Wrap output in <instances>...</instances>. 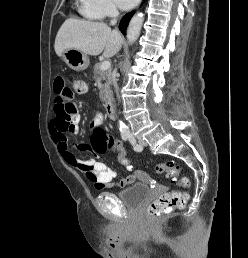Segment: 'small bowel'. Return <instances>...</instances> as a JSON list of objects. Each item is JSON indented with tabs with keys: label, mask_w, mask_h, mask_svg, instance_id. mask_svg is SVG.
Returning a JSON list of instances; mask_svg holds the SVG:
<instances>
[{
	"label": "small bowel",
	"mask_w": 248,
	"mask_h": 258,
	"mask_svg": "<svg viewBox=\"0 0 248 258\" xmlns=\"http://www.w3.org/2000/svg\"><path fill=\"white\" fill-rule=\"evenodd\" d=\"M53 90L55 93L54 97V112L55 116L59 109H61L62 103L71 104V96L69 90L65 87L63 78H55L53 81ZM53 117V119L55 118ZM51 120L50 123V134L52 140L57 146L59 153L62 155L64 161L72 166L80 169L87 178L94 182L97 188H125L135 182L137 175L132 173L120 181L114 183L113 180L116 177V172L111 169L106 163L97 161L95 158L91 157L86 160H80L74 153V148L77 147L79 150H88L85 144H76L70 137L69 132L76 133L78 131L80 123V115L74 113L71 116L72 127L69 131L59 129ZM103 121L102 115L98 114L89 123V127L92 129L100 125Z\"/></svg>",
	"instance_id": "c3829d8e"
}]
</instances>
